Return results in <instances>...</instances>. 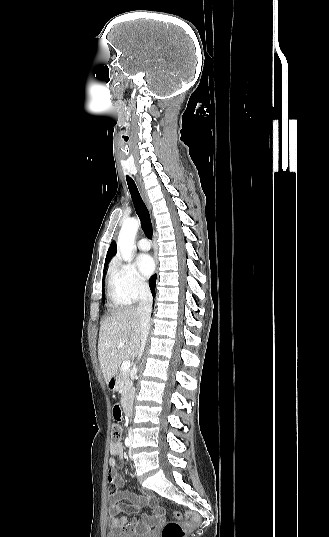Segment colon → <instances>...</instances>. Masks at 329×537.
Segmentation results:
<instances>
[{"label": "colon", "mask_w": 329, "mask_h": 537, "mask_svg": "<svg viewBox=\"0 0 329 537\" xmlns=\"http://www.w3.org/2000/svg\"><path fill=\"white\" fill-rule=\"evenodd\" d=\"M112 415H113V412H112ZM121 437H122V428L119 424L115 423L111 429V441L113 443L120 442ZM183 516L185 518H191V520L188 522L182 521L181 512L175 511L173 513L174 520L169 521L168 523L165 524L161 532V537H185L187 530L196 526L198 522L197 519L201 517V512L197 509H193L191 511H185L183 513Z\"/></svg>", "instance_id": "obj_1"}]
</instances>
